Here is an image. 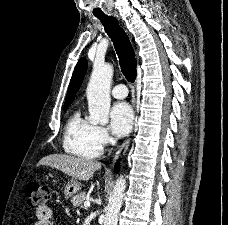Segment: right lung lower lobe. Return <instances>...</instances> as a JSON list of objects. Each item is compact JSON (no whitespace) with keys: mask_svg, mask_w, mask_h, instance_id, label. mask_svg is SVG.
Listing matches in <instances>:
<instances>
[{"mask_svg":"<svg viewBox=\"0 0 228 225\" xmlns=\"http://www.w3.org/2000/svg\"><path fill=\"white\" fill-rule=\"evenodd\" d=\"M119 167H120V166H119V163H116V164H115V172H116V173H118Z\"/></svg>","mask_w":228,"mask_h":225,"instance_id":"obj_1","label":"right lung lower lobe"}]
</instances>
